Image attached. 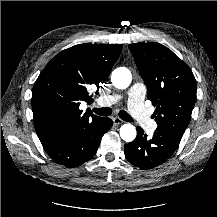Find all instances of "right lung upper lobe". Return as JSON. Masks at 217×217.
<instances>
[{"mask_svg":"<svg viewBox=\"0 0 217 217\" xmlns=\"http://www.w3.org/2000/svg\"><path fill=\"white\" fill-rule=\"evenodd\" d=\"M122 45H75L57 54L41 72L32 91L34 126L46 142L81 129L99 117L82 113V101L93 102L89 88L109 76ZM98 93V91H96Z\"/></svg>","mask_w":217,"mask_h":217,"instance_id":"right-lung-upper-lobe-1","label":"right lung upper lobe"}]
</instances>
